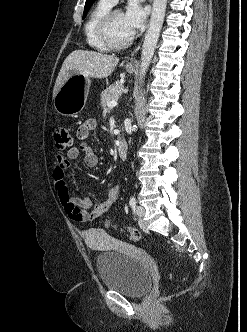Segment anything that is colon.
I'll use <instances>...</instances> for the list:
<instances>
[{
    "mask_svg": "<svg viewBox=\"0 0 247 332\" xmlns=\"http://www.w3.org/2000/svg\"><path fill=\"white\" fill-rule=\"evenodd\" d=\"M52 137L54 145L57 150H66L73 144L72 137L68 132L67 128L61 125L55 126L52 131ZM109 226L113 224L108 223ZM126 234L131 241L137 242L140 240V232L135 228H129L126 230Z\"/></svg>",
    "mask_w": 247,
    "mask_h": 332,
    "instance_id": "colon-1",
    "label": "colon"
}]
</instances>
